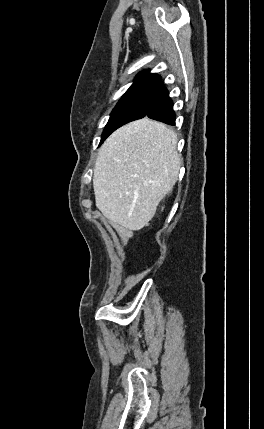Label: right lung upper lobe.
<instances>
[{"mask_svg":"<svg viewBox=\"0 0 264 429\" xmlns=\"http://www.w3.org/2000/svg\"><path fill=\"white\" fill-rule=\"evenodd\" d=\"M138 88L163 89L164 86L161 82V78L158 75L151 74L149 73V71H143L136 77V79L134 80V83L131 85V87L128 90L138 89Z\"/></svg>","mask_w":264,"mask_h":429,"instance_id":"obj_1","label":"right lung upper lobe"}]
</instances>
